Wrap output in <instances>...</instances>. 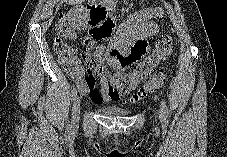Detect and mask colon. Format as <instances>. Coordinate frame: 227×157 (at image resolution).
Returning a JSON list of instances; mask_svg holds the SVG:
<instances>
[{"mask_svg": "<svg viewBox=\"0 0 227 157\" xmlns=\"http://www.w3.org/2000/svg\"><path fill=\"white\" fill-rule=\"evenodd\" d=\"M90 16H98L95 14L94 9H90ZM108 32H93L91 37L82 39L85 45V53L83 59L87 68V79L89 82H95V77L106 76L110 85L119 93L126 94L131 90L132 76L129 73H109L105 67L96 64L91 58V49L95 40L104 38L110 34ZM57 38L54 42V49L57 54L58 62L67 69H73L80 63L77 49L74 45L65 42L64 40H75L77 34L70 26L64 17H60L56 25ZM173 49V36L171 33L162 35L155 42L152 52L145 57L142 61L138 62L133 73L136 76L146 77L160 61L168 57ZM144 55V54H143ZM141 59V58H140ZM125 64H133L136 62H124ZM165 79L164 71H159L149 78L143 86L134 93L129 101L137 103L144 99L148 94L158 89Z\"/></svg>", "mask_w": 227, "mask_h": 157, "instance_id": "1", "label": "colon"}]
</instances>
